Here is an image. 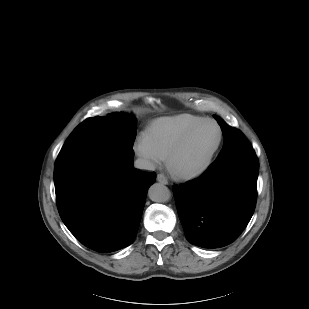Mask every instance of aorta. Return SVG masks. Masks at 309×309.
Wrapping results in <instances>:
<instances>
[{
    "label": "aorta",
    "instance_id": "1",
    "mask_svg": "<svg viewBox=\"0 0 309 309\" xmlns=\"http://www.w3.org/2000/svg\"><path fill=\"white\" fill-rule=\"evenodd\" d=\"M149 198L154 202H168L171 198V193L168 187L161 183H154L148 190Z\"/></svg>",
    "mask_w": 309,
    "mask_h": 309
}]
</instances>
